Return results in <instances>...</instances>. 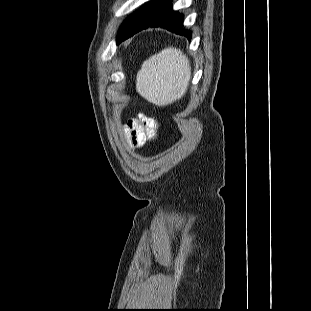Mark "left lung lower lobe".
<instances>
[{
    "label": "left lung lower lobe",
    "mask_w": 311,
    "mask_h": 311,
    "mask_svg": "<svg viewBox=\"0 0 311 311\" xmlns=\"http://www.w3.org/2000/svg\"><path fill=\"white\" fill-rule=\"evenodd\" d=\"M149 27H161L191 39V31L183 28V15L173 11L170 0H154L123 22L117 43Z\"/></svg>",
    "instance_id": "0a47b994"
}]
</instances>
